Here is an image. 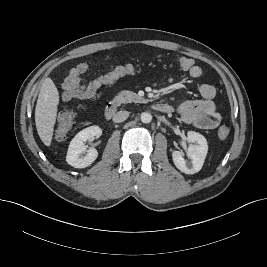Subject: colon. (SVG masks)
<instances>
[{
    "label": "colon",
    "instance_id": "obj_1",
    "mask_svg": "<svg viewBox=\"0 0 267 267\" xmlns=\"http://www.w3.org/2000/svg\"><path fill=\"white\" fill-rule=\"evenodd\" d=\"M178 65L180 69L187 71L194 66V61L190 58L183 57L179 59ZM137 71V67L133 64L117 66L102 76L103 85H110L123 77L135 75ZM78 110L79 107H68L61 113L54 130V137L57 140H63L68 136L75 122ZM228 134V127L226 125H221L218 129V137L220 139H225Z\"/></svg>",
    "mask_w": 267,
    "mask_h": 267
}]
</instances>
